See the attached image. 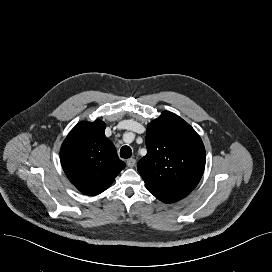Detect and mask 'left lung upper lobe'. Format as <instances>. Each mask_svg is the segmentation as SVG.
I'll use <instances>...</instances> for the list:
<instances>
[{
    "label": "left lung upper lobe",
    "mask_w": 272,
    "mask_h": 272,
    "mask_svg": "<svg viewBox=\"0 0 272 272\" xmlns=\"http://www.w3.org/2000/svg\"><path fill=\"white\" fill-rule=\"evenodd\" d=\"M147 155L137 164L147 189L186 197L199 183L205 168L200 136L169 111L148 124Z\"/></svg>",
    "instance_id": "1"
}]
</instances>
